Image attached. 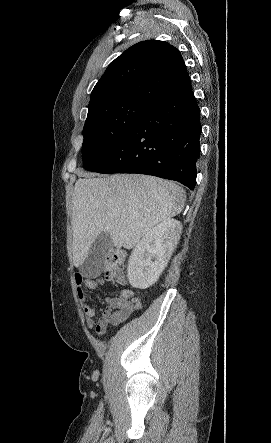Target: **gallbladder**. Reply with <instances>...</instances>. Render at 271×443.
<instances>
[{"instance_id":"gallbladder-1","label":"gallbladder","mask_w":271,"mask_h":443,"mask_svg":"<svg viewBox=\"0 0 271 443\" xmlns=\"http://www.w3.org/2000/svg\"><path fill=\"white\" fill-rule=\"evenodd\" d=\"M113 241L109 233H100L92 243L90 251H87L85 260L80 261L79 271L85 278H94L96 273H103L108 268L111 260V249Z\"/></svg>"}]
</instances>
